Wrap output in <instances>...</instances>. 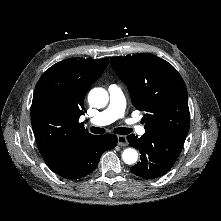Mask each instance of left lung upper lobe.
Segmentation results:
<instances>
[{
    "label": "left lung upper lobe",
    "instance_id": "5c2ea615",
    "mask_svg": "<svg viewBox=\"0 0 221 221\" xmlns=\"http://www.w3.org/2000/svg\"><path fill=\"white\" fill-rule=\"evenodd\" d=\"M110 65L127 85L134 107L146 112L145 132L186 139L190 125L187 89L170 63L145 53L111 57Z\"/></svg>",
    "mask_w": 221,
    "mask_h": 221
}]
</instances>
